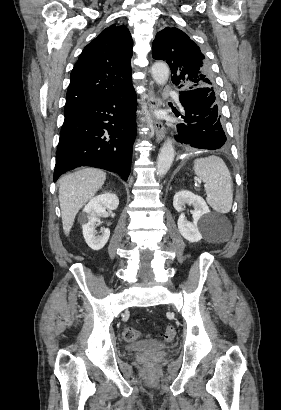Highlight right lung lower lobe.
Listing matches in <instances>:
<instances>
[{
    "label": "right lung lower lobe",
    "mask_w": 281,
    "mask_h": 410,
    "mask_svg": "<svg viewBox=\"0 0 281 410\" xmlns=\"http://www.w3.org/2000/svg\"><path fill=\"white\" fill-rule=\"evenodd\" d=\"M136 106L131 85L65 118L56 151L54 181L81 166L112 171L127 180L136 137Z\"/></svg>",
    "instance_id": "obj_1"
}]
</instances>
